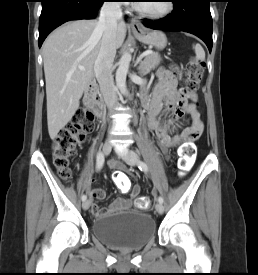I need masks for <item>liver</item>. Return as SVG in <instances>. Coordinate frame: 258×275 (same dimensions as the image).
I'll list each match as a JSON object with an SVG mask.
<instances>
[{"instance_id": "1", "label": "liver", "mask_w": 258, "mask_h": 275, "mask_svg": "<svg viewBox=\"0 0 258 275\" xmlns=\"http://www.w3.org/2000/svg\"><path fill=\"white\" fill-rule=\"evenodd\" d=\"M97 23V20L68 22L51 33L43 44L47 124L52 140L72 119L93 77V66L103 35ZM125 36L126 25L119 22L116 31L117 48L122 45Z\"/></svg>"}]
</instances>
